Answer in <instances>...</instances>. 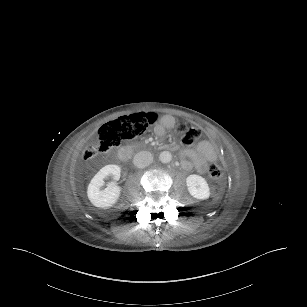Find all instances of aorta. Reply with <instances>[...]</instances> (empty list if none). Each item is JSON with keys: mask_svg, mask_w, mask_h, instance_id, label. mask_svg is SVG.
I'll list each match as a JSON object with an SVG mask.
<instances>
[{"mask_svg": "<svg viewBox=\"0 0 307 307\" xmlns=\"http://www.w3.org/2000/svg\"><path fill=\"white\" fill-rule=\"evenodd\" d=\"M172 160V154L169 151H162L159 154V161L161 163H170Z\"/></svg>", "mask_w": 307, "mask_h": 307, "instance_id": "aorta-1", "label": "aorta"}]
</instances>
